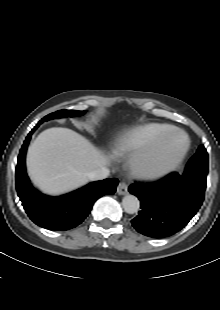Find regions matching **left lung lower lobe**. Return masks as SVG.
I'll list each match as a JSON object with an SVG mask.
<instances>
[{
  "label": "left lung lower lobe",
  "instance_id": "obj_1",
  "mask_svg": "<svg viewBox=\"0 0 220 310\" xmlns=\"http://www.w3.org/2000/svg\"><path fill=\"white\" fill-rule=\"evenodd\" d=\"M207 174L170 173L152 184H133L129 192L138 197L141 211L131 221L141 234L164 238L184 228L201 207Z\"/></svg>",
  "mask_w": 220,
  "mask_h": 310
}]
</instances>
